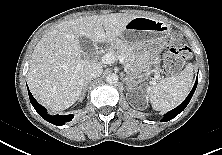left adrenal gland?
Here are the masks:
<instances>
[{
  "instance_id": "a2214340",
  "label": "left adrenal gland",
  "mask_w": 222,
  "mask_h": 155,
  "mask_svg": "<svg viewBox=\"0 0 222 155\" xmlns=\"http://www.w3.org/2000/svg\"><path fill=\"white\" fill-rule=\"evenodd\" d=\"M126 83H127V85L129 86V82H128V79L126 78Z\"/></svg>"
}]
</instances>
